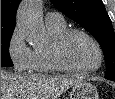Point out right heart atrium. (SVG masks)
<instances>
[{"mask_svg":"<svg viewBox=\"0 0 115 99\" xmlns=\"http://www.w3.org/2000/svg\"><path fill=\"white\" fill-rule=\"evenodd\" d=\"M7 51L17 71L26 72L32 69L34 51L27 45L20 27L13 30L8 41Z\"/></svg>","mask_w":115,"mask_h":99,"instance_id":"1","label":"right heart atrium"}]
</instances>
